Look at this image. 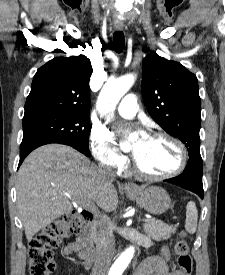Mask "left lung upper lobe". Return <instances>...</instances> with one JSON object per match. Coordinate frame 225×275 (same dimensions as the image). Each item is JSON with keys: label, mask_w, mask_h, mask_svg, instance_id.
<instances>
[{"label": "left lung upper lobe", "mask_w": 225, "mask_h": 275, "mask_svg": "<svg viewBox=\"0 0 225 275\" xmlns=\"http://www.w3.org/2000/svg\"><path fill=\"white\" fill-rule=\"evenodd\" d=\"M142 92L152 118L186 145L189 157L200 155L197 77L180 63L152 52L143 60Z\"/></svg>", "instance_id": "left-lung-upper-lobe-1"}]
</instances>
